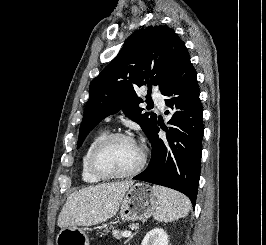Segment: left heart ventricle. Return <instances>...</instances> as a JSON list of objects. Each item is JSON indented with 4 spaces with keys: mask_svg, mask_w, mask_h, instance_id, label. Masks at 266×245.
<instances>
[{
    "mask_svg": "<svg viewBox=\"0 0 266 245\" xmlns=\"http://www.w3.org/2000/svg\"><path fill=\"white\" fill-rule=\"evenodd\" d=\"M139 157V147L135 142L126 139H115L102 151L100 165L110 173L124 174L136 167Z\"/></svg>",
    "mask_w": 266,
    "mask_h": 245,
    "instance_id": "1",
    "label": "left heart ventricle"
}]
</instances>
